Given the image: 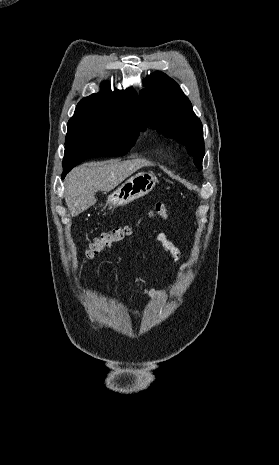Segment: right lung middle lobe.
<instances>
[{
	"instance_id": "1",
	"label": "right lung middle lobe",
	"mask_w": 279,
	"mask_h": 465,
	"mask_svg": "<svg viewBox=\"0 0 279 465\" xmlns=\"http://www.w3.org/2000/svg\"><path fill=\"white\" fill-rule=\"evenodd\" d=\"M142 130L145 129L132 122L68 129L63 171L71 170L88 158L125 155Z\"/></svg>"
}]
</instances>
